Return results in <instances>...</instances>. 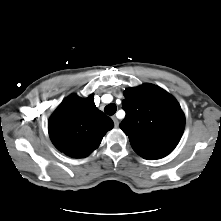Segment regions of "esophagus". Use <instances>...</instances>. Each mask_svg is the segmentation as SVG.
Wrapping results in <instances>:
<instances>
[{
  "instance_id": "obj_1",
  "label": "esophagus",
  "mask_w": 221,
  "mask_h": 221,
  "mask_svg": "<svg viewBox=\"0 0 221 221\" xmlns=\"http://www.w3.org/2000/svg\"><path fill=\"white\" fill-rule=\"evenodd\" d=\"M112 120H113V122H114L115 127H118V126H119V120H118V118H117L116 116H113V117H112Z\"/></svg>"
}]
</instances>
